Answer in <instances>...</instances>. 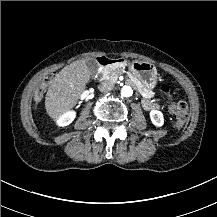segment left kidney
I'll use <instances>...</instances> for the list:
<instances>
[{
  "mask_svg": "<svg viewBox=\"0 0 217 217\" xmlns=\"http://www.w3.org/2000/svg\"><path fill=\"white\" fill-rule=\"evenodd\" d=\"M150 118L152 123L157 127H161L164 124V117L161 111L158 110L150 111Z\"/></svg>",
  "mask_w": 217,
  "mask_h": 217,
  "instance_id": "left-kidney-1",
  "label": "left kidney"
}]
</instances>
